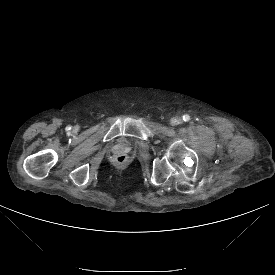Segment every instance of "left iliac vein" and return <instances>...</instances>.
Returning <instances> with one entry per match:
<instances>
[{
    "label": "left iliac vein",
    "instance_id": "obj_1",
    "mask_svg": "<svg viewBox=\"0 0 275 275\" xmlns=\"http://www.w3.org/2000/svg\"><path fill=\"white\" fill-rule=\"evenodd\" d=\"M171 123L173 125L181 124L182 123V118H180V117H174V118L171 119Z\"/></svg>",
    "mask_w": 275,
    "mask_h": 275
}]
</instances>
